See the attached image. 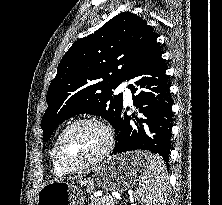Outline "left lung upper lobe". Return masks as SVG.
Masks as SVG:
<instances>
[{
    "label": "left lung upper lobe",
    "mask_w": 222,
    "mask_h": 205,
    "mask_svg": "<svg viewBox=\"0 0 222 205\" xmlns=\"http://www.w3.org/2000/svg\"><path fill=\"white\" fill-rule=\"evenodd\" d=\"M152 33L142 18L123 12L77 40L60 61L49 86L48 108L41 121L43 141L77 114L100 115L114 126L123 109V95L113 96L112 90L127 79Z\"/></svg>",
    "instance_id": "5c2ea615"
}]
</instances>
